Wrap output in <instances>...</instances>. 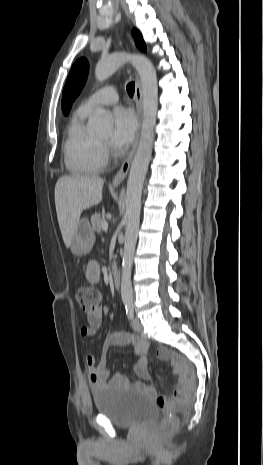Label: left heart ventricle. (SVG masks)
Listing matches in <instances>:
<instances>
[{
	"mask_svg": "<svg viewBox=\"0 0 263 465\" xmlns=\"http://www.w3.org/2000/svg\"><path fill=\"white\" fill-rule=\"evenodd\" d=\"M107 138V136H103L102 139L105 140Z\"/></svg>",
	"mask_w": 263,
	"mask_h": 465,
	"instance_id": "1",
	"label": "left heart ventricle"
}]
</instances>
